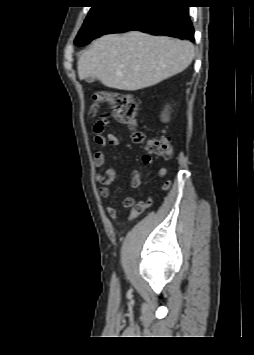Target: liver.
Returning a JSON list of instances; mask_svg holds the SVG:
<instances>
[{
	"instance_id": "obj_1",
	"label": "liver",
	"mask_w": 254,
	"mask_h": 355,
	"mask_svg": "<svg viewBox=\"0 0 254 355\" xmlns=\"http://www.w3.org/2000/svg\"><path fill=\"white\" fill-rule=\"evenodd\" d=\"M194 55L190 41L131 31L97 39L79 57L77 70L80 80L92 76L107 87L136 91L181 73Z\"/></svg>"
}]
</instances>
